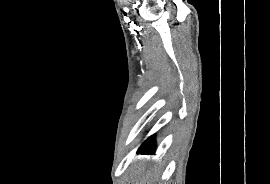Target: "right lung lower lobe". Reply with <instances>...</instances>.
<instances>
[{
    "label": "right lung lower lobe",
    "mask_w": 270,
    "mask_h": 184,
    "mask_svg": "<svg viewBox=\"0 0 270 184\" xmlns=\"http://www.w3.org/2000/svg\"><path fill=\"white\" fill-rule=\"evenodd\" d=\"M155 152V135L149 137L138 149V154H151Z\"/></svg>",
    "instance_id": "obj_1"
}]
</instances>
